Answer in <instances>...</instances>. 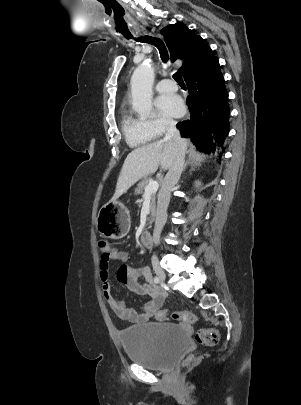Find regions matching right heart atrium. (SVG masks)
I'll use <instances>...</instances> for the list:
<instances>
[{"instance_id": "d8ad5b80", "label": "right heart atrium", "mask_w": 301, "mask_h": 405, "mask_svg": "<svg viewBox=\"0 0 301 405\" xmlns=\"http://www.w3.org/2000/svg\"><path fill=\"white\" fill-rule=\"evenodd\" d=\"M147 127L155 135H162L167 129L173 126L174 121L164 115H159L153 119L145 121Z\"/></svg>"}]
</instances>
